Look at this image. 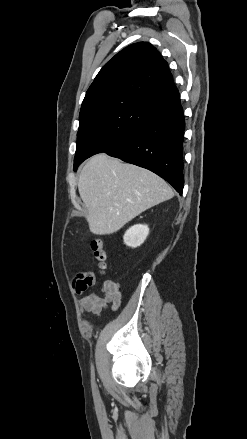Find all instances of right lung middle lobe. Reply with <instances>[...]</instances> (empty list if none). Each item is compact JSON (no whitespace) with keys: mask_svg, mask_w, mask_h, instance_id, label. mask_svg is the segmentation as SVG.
<instances>
[{"mask_svg":"<svg viewBox=\"0 0 247 439\" xmlns=\"http://www.w3.org/2000/svg\"><path fill=\"white\" fill-rule=\"evenodd\" d=\"M152 111L130 101H109L80 112L74 170L90 156L114 147Z\"/></svg>","mask_w":247,"mask_h":439,"instance_id":"obj_1","label":"right lung middle lobe"}]
</instances>
